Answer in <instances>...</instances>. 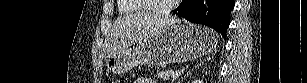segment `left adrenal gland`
Listing matches in <instances>:
<instances>
[{
    "instance_id": "1",
    "label": "left adrenal gland",
    "mask_w": 307,
    "mask_h": 83,
    "mask_svg": "<svg viewBox=\"0 0 307 83\" xmlns=\"http://www.w3.org/2000/svg\"><path fill=\"white\" fill-rule=\"evenodd\" d=\"M202 64H203V62H200V63L197 64L193 69L189 70V71L185 74L184 78H186V77L188 76V74H191L195 69L199 68Z\"/></svg>"
}]
</instances>
